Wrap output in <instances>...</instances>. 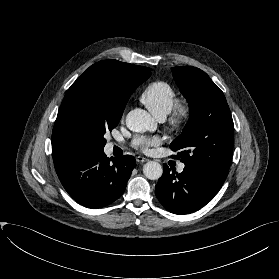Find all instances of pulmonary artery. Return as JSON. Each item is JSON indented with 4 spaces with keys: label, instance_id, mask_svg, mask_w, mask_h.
Segmentation results:
<instances>
[{
    "label": "pulmonary artery",
    "instance_id": "obj_1",
    "mask_svg": "<svg viewBox=\"0 0 279 279\" xmlns=\"http://www.w3.org/2000/svg\"><path fill=\"white\" fill-rule=\"evenodd\" d=\"M163 119H164L163 117H160V118H159V120H161V121H162ZM184 167H185L184 164H182V163L179 164V166H178V171H179V172H182V171L184 170Z\"/></svg>",
    "mask_w": 279,
    "mask_h": 279
}]
</instances>
